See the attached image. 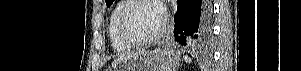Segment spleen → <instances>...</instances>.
<instances>
[{"mask_svg":"<svg viewBox=\"0 0 301 71\" xmlns=\"http://www.w3.org/2000/svg\"><path fill=\"white\" fill-rule=\"evenodd\" d=\"M184 60H185V62L186 63H191V61H192V59L191 58H189L188 56H184Z\"/></svg>","mask_w":301,"mask_h":71,"instance_id":"obj_1","label":"spleen"}]
</instances>
